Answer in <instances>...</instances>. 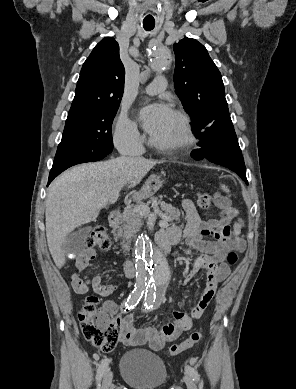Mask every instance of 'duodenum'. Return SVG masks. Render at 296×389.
I'll list each match as a JSON object with an SVG mask.
<instances>
[{
    "label": "duodenum",
    "mask_w": 296,
    "mask_h": 389,
    "mask_svg": "<svg viewBox=\"0 0 296 389\" xmlns=\"http://www.w3.org/2000/svg\"><path fill=\"white\" fill-rule=\"evenodd\" d=\"M120 221V212L119 210H113L110 215H109V224L111 227H116L119 224ZM157 243L160 248V250L164 253L167 254L169 253L171 249V245L176 243V241L168 236H159L157 237ZM123 269L125 276L127 278H133L135 276V265L132 261H126L123 264Z\"/></svg>",
    "instance_id": "410a0bca"
}]
</instances>
